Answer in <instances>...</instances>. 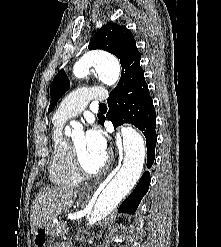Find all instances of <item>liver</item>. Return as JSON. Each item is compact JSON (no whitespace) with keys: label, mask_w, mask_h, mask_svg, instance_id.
<instances>
[{"label":"liver","mask_w":221,"mask_h":247,"mask_svg":"<svg viewBox=\"0 0 221 247\" xmlns=\"http://www.w3.org/2000/svg\"><path fill=\"white\" fill-rule=\"evenodd\" d=\"M79 190L69 187L46 186L42 188L32 205L30 226L32 232L52 218L73 206Z\"/></svg>","instance_id":"obj_1"}]
</instances>
